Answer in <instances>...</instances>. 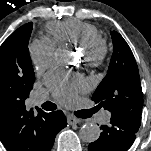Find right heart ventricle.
Listing matches in <instances>:
<instances>
[{"label":"right heart ventricle","mask_w":151,"mask_h":151,"mask_svg":"<svg viewBox=\"0 0 151 151\" xmlns=\"http://www.w3.org/2000/svg\"><path fill=\"white\" fill-rule=\"evenodd\" d=\"M46 29L54 42L80 47L99 37V32L94 25L74 19L51 22Z\"/></svg>","instance_id":"e07e8e85"}]
</instances>
